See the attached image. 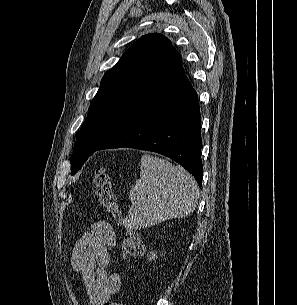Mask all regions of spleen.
<instances>
[{"mask_svg": "<svg viewBox=\"0 0 297 305\" xmlns=\"http://www.w3.org/2000/svg\"><path fill=\"white\" fill-rule=\"evenodd\" d=\"M198 194L196 181L182 167L143 155L140 179L129 192L133 208L122 224L137 230L167 219L186 217L194 211Z\"/></svg>", "mask_w": 297, "mask_h": 305, "instance_id": "spleen-1", "label": "spleen"}]
</instances>
